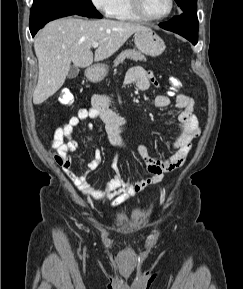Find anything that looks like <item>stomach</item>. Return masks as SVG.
I'll use <instances>...</instances> for the list:
<instances>
[{
	"label": "stomach",
	"instance_id": "0dacf381",
	"mask_svg": "<svg viewBox=\"0 0 243 289\" xmlns=\"http://www.w3.org/2000/svg\"><path fill=\"white\" fill-rule=\"evenodd\" d=\"M134 43L140 52L152 57L160 55L165 50L164 41L148 27L135 33ZM107 73L108 66L99 64L88 69L86 71V77L92 82H98L104 79Z\"/></svg>",
	"mask_w": 243,
	"mask_h": 289
}]
</instances>
